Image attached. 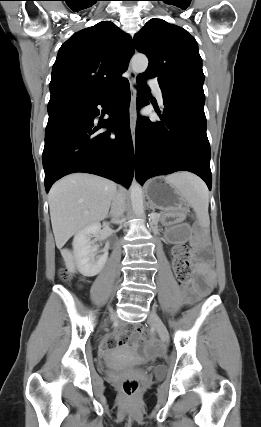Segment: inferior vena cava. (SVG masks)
<instances>
[{"mask_svg":"<svg viewBox=\"0 0 261 427\" xmlns=\"http://www.w3.org/2000/svg\"><path fill=\"white\" fill-rule=\"evenodd\" d=\"M125 211V197L122 192H116L112 199L110 215L113 220H118Z\"/></svg>","mask_w":261,"mask_h":427,"instance_id":"inferior-vena-cava-1","label":"inferior vena cava"}]
</instances>
